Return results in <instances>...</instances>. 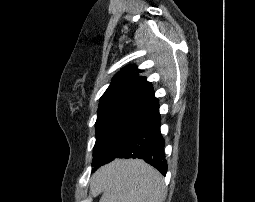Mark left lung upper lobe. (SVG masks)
I'll return each instance as SVG.
<instances>
[{
	"label": "left lung upper lobe",
	"mask_w": 255,
	"mask_h": 202,
	"mask_svg": "<svg viewBox=\"0 0 255 202\" xmlns=\"http://www.w3.org/2000/svg\"><path fill=\"white\" fill-rule=\"evenodd\" d=\"M140 72L143 70L136 66L123 68L102 95L92 166L120 153L131 135L159 107L151 83L139 76Z\"/></svg>",
	"instance_id": "1"
}]
</instances>
